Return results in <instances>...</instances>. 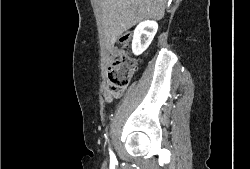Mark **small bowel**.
Returning <instances> with one entry per match:
<instances>
[{
  "label": "small bowel",
  "mask_w": 250,
  "mask_h": 169,
  "mask_svg": "<svg viewBox=\"0 0 250 169\" xmlns=\"http://www.w3.org/2000/svg\"><path fill=\"white\" fill-rule=\"evenodd\" d=\"M109 55H110V62L116 58L117 56L120 55V50L116 47H113L110 49L109 51ZM103 96H104V99L107 101V102H111L112 101V96L109 92L108 89H105L104 92H103Z\"/></svg>",
  "instance_id": "small-bowel-1"
}]
</instances>
